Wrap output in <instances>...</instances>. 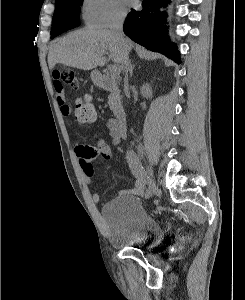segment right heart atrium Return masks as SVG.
I'll return each instance as SVG.
<instances>
[{
  "label": "right heart atrium",
  "instance_id": "1",
  "mask_svg": "<svg viewBox=\"0 0 245 300\" xmlns=\"http://www.w3.org/2000/svg\"><path fill=\"white\" fill-rule=\"evenodd\" d=\"M83 20L95 27H108L122 21L126 9L122 0H82Z\"/></svg>",
  "mask_w": 245,
  "mask_h": 300
}]
</instances>
